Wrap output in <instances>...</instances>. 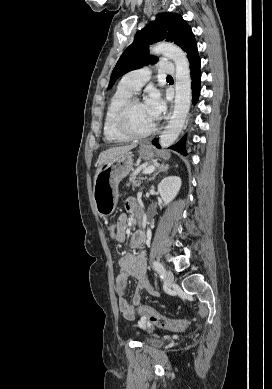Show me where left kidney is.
<instances>
[{"mask_svg":"<svg viewBox=\"0 0 272 389\" xmlns=\"http://www.w3.org/2000/svg\"><path fill=\"white\" fill-rule=\"evenodd\" d=\"M181 179L177 176L165 177L158 185V191L164 201L169 204L178 194L181 187Z\"/></svg>","mask_w":272,"mask_h":389,"instance_id":"5707ae66","label":"left kidney"}]
</instances>
